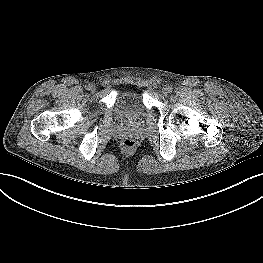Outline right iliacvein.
I'll return each instance as SVG.
<instances>
[{
  "mask_svg": "<svg viewBox=\"0 0 263 263\" xmlns=\"http://www.w3.org/2000/svg\"><path fill=\"white\" fill-rule=\"evenodd\" d=\"M89 90L94 93L96 91V86L95 85H90Z\"/></svg>",
  "mask_w": 263,
  "mask_h": 263,
  "instance_id": "obj_1",
  "label": "right iliac vein"
}]
</instances>
